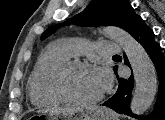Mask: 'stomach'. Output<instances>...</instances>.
<instances>
[{"mask_svg": "<svg viewBox=\"0 0 165 120\" xmlns=\"http://www.w3.org/2000/svg\"><path fill=\"white\" fill-rule=\"evenodd\" d=\"M60 117L63 120H118L113 111L97 106L79 109L74 113L41 112L34 114L30 119L58 120Z\"/></svg>", "mask_w": 165, "mask_h": 120, "instance_id": "0dacf381", "label": "stomach"}]
</instances>
